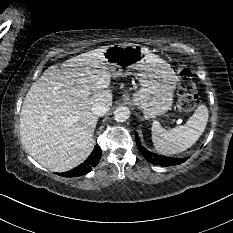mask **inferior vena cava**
<instances>
[{"mask_svg": "<svg viewBox=\"0 0 233 233\" xmlns=\"http://www.w3.org/2000/svg\"><path fill=\"white\" fill-rule=\"evenodd\" d=\"M109 109V104L104 102H98L92 106V113L97 116H103L109 111Z\"/></svg>", "mask_w": 233, "mask_h": 233, "instance_id": "obj_1", "label": "inferior vena cava"}]
</instances>
